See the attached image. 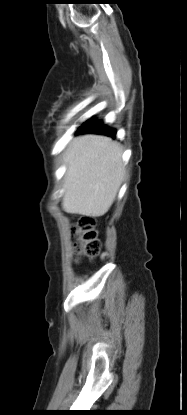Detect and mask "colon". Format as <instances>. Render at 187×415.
I'll return each mask as SVG.
<instances>
[{
    "label": "colon",
    "mask_w": 187,
    "mask_h": 415,
    "mask_svg": "<svg viewBox=\"0 0 187 415\" xmlns=\"http://www.w3.org/2000/svg\"><path fill=\"white\" fill-rule=\"evenodd\" d=\"M78 242V252L86 256H97L101 250V242L95 229V220L84 216L74 228Z\"/></svg>",
    "instance_id": "obj_1"
}]
</instances>
